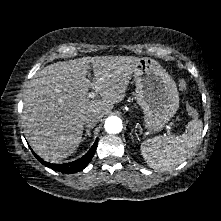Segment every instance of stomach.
<instances>
[{
	"instance_id": "0dacf381",
	"label": "stomach",
	"mask_w": 221,
	"mask_h": 221,
	"mask_svg": "<svg viewBox=\"0 0 221 221\" xmlns=\"http://www.w3.org/2000/svg\"><path fill=\"white\" fill-rule=\"evenodd\" d=\"M136 99L144 113V128L158 132L179 107L176 84L155 60L140 58L134 69Z\"/></svg>"
}]
</instances>
